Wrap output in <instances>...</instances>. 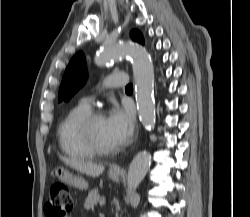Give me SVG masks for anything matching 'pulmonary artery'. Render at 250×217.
<instances>
[{
  "label": "pulmonary artery",
  "mask_w": 250,
  "mask_h": 217,
  "mask_svg": "<svg viewBox=\"0 0 250 217\" xmlns=\"http://www.w3.org/2000/svg\"><path fill=\"white\" fill-rule=\"evenodd\" d=\"M128 83V77L124 73H111L105 78V84L108 88L125 87ZM85 104L90 106L93 102V97H87L83 100Z\"/></svg>",
  "instance_id": "e3ab8cb5"
}]
</instances>
